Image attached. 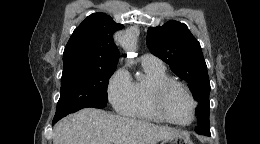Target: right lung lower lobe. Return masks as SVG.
I'll list each match as a JSON object with an SVG mask.
<instances>
[{
	"label": "right lung lower lobe",
	"mask_w": 260,
	"mask_h": 144,
	"mask_svg": "<svg viewBox=\"0 0 260 144\" xmlns=\"http://www.w3.org/2000/svg\"><path fill=\"white\" fill-rule=\"evenodd\" d=\"M55 122H57V121L53 120V123H52V124H54Z\"/></svg>",
	"instance_id": "1"
}]
</instances>
